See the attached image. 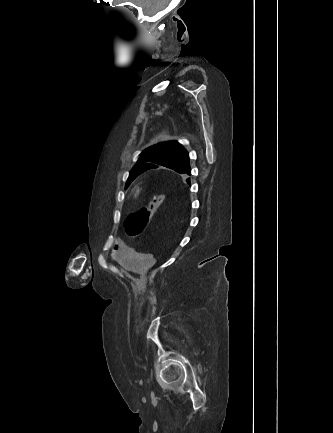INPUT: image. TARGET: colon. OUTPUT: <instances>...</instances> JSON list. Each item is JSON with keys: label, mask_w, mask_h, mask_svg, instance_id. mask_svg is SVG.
Here are the masks:
<instances>
[{"label": "colon", "mask_w": 333, "mask_h": 433, "mask_svg": "<svg viewBox=\"0 0 333 433\" xmlns=\"http://www.w3.org/2000/svg\"><path fill=\"white\" fill-rule=\"evenodd\" d=\"M164 199L163 194L156 195L148 206L131 213L125 220L126 234L132 238L142 234Z\"/></svg>", "instance_id": "colon-1"}]
</instances>
